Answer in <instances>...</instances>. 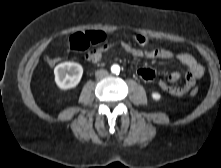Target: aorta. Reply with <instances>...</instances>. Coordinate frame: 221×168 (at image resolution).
I'll return each instance as SVG.
<instances>
[{"instance_id": "762f6f07", "label": "aorta", "mask_w": 221, "mask_h": 168, "mask_svg": "<svg viewBox=\"0 0 221 168\" xmlns=\"http://www.w3.org/2000/svg\"><path fill=\"white\" fill-rule=\"evenodd\" d=\"M111 71H112V73H114V74H119V72H120V66L117 65V64L112 65Z\"/></svg>"}]
</instances>
